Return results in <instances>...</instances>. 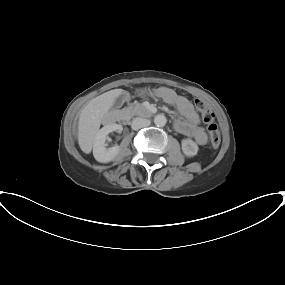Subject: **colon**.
Returning <instances> with one entry per match:
<instances>
[{
    "label": "colon",
    "instance_id": "5ec220e1",
    "mask_svg": "<svg viewBox=\"0 0 285 285\" xmlns=\"http://www.w3.org/2000/svg\"><path fill=\"white\" fill-rule=\"evenodd\" d=\"M193 103L196 109L201 113L202 119L207 126L212 146L217 148L220 144L221 137L213 111L202 99L195 98Z\"/></svg>",
    "mask_w": 285,
    "mask_h": 285
}]
</instances>
